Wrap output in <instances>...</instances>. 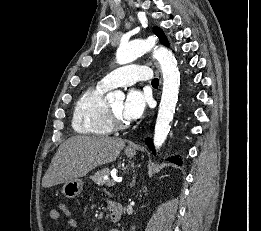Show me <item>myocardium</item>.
I'll return each mask as SVG.
<instances>
[{"label": "myocardium", "mask_w": 261, "mask_h": 231, "mask_svg": "<svg viewBox=\"0 0 261 231\" xmlns=\"http://www.w3.org/2000/svg\"><path fill=\"white\" fill-rule=\"evenodd\" d=\"M108 119L113 129L123 130L129 127V122L120 118L111 108L110 104H107Z\"/></svg>", "instance_id": "obj_1"}]
</instances>
